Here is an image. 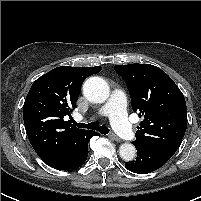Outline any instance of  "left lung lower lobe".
<instances>
[{"mask_svg": "<svg viewBox=\"0 0 201 201\" xmlns=\"http://www.w3.org/2000/svg\"><path fill=\"white\" fill-rule=\"evenodd\" d=\"M137 149L136 160L126 162L125 167L131 172L138 174H147L163 166L176 152V148H142L135 146Z\"/></svg>", "mask_w": 201, "mask_h": 201, "instance_id": "left-lung-lower-lobe-1", "label": "left lung lower lobe"}]
</instances>
